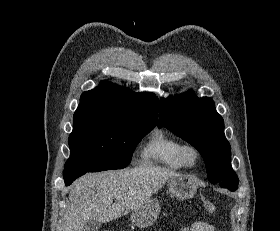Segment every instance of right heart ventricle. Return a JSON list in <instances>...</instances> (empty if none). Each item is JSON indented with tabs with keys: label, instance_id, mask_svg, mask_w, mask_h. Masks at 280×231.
Wrapping results in <instances>:
<instances>
[{
	"label": "right heart ventricle",
	"instance_id": "right-heart-ventricle-1",
	"mask_svg": "<svg viewBox=\"0 0 280 231\" xmlns=\"http://www.w3.org/2000/svg\"><path fill=\"white\" fill-rule=\"evenodd\" d=\"M182 140L162 128L154 129L139 151V160L143 165L157 164L170 170L183 169L178 157Z\"/></svg>",
	"mask_w": 280,
	"mask_h": 231
}]
</instances>
